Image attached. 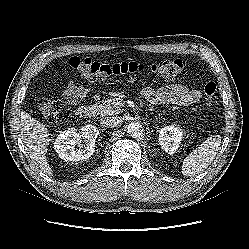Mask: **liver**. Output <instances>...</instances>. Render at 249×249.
I'll return each instance as SVG.
<instances>
[{"label":"liver","mask_w":249,"mask_h":249,"mask_svg":"<svg viewBox=\"0 0 249 249\" xmlns=\"http://www.w3.org/2000/svg\"><path fill=\"white\" fill-rule=\"evenodd\" d=\"M18 128L30 158L39 166L43 173L52 176L53 172L46 158L47 147L51 141L47 126L34 119L28 113L22 112Z\"/></svg>","instance_id":"obj_1"}]
</instances>
